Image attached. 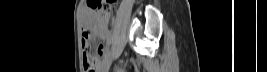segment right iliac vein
<instances>
[{"label": "right iliac vein", "instance_id": "1", "mask_svg": "<svg viewBox=\"0 0 267 72\" xmlns=\"http://www.w3.org/2000/svg\"><path fill=\"white\" fill-rule=\"evenodd\" d=\"M111 63H112V58H109V60L104 63L102 72H107L110 68Z\"/></svg>", "mask_w": 267, "mask_h": 72}]
</instances>
